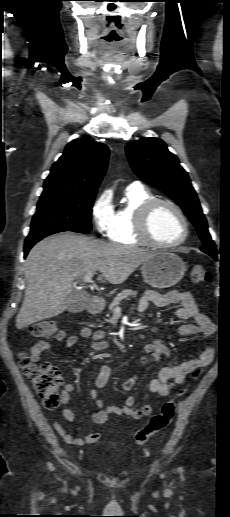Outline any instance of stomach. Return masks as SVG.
I'll use <instances>...</instances> for the list:
<instances>
[{"label": "stomach", "mask_w": 230, "mask_h": 517, "mask_svg": "<svg viewBox=\"0 0 230 517\" xmlns=\"http://www.w3.org/2000/svg\"><path fill=\"white\" fill-rule=\"evenodd\" d=\"M186 266L174 253L156 251L142 263L144 281L153 288L163 289L176 285L184 276Z\"/></svg>", "instance_id": "stomach-1"}]
</instances>
